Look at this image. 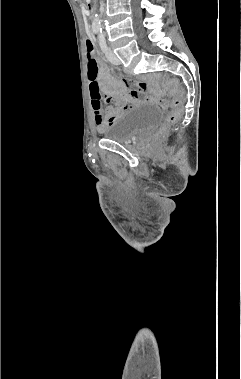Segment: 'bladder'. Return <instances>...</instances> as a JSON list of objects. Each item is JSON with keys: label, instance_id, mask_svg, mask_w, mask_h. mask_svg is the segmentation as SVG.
Wrapping results in <instances>:
<instances>
[{"label": "bladder", "instance_id": "obj_1", "mask_svg": "<svg viewBox=\"0 0 241 379\" xmlns=\"http://www.w3.org/2000/svg\"><path fill=\"white\" fill-rule=\"evenodd\" d=\"M162 119L161 111L150 104H138L117 117L103 131L106 139L127 143L154 129Z\"/></svg>", "mask_w": 241, "mask_h": 379}]
</instances>
